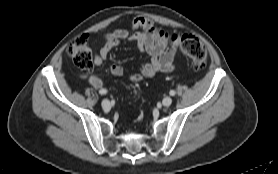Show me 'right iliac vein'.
<instances>
[{"label": "right iliac vein", "mask_w": 278, "mask_h": 174, "mask_svg": "<svg viewBox=\"0 0 278 174\" xmlns=\"http://www.w3.org/2000/svg\"><path fill=\"white\" fill-rule=\"evenodd\" d=\"M101 105H102V108H103L104 110H109V109L111 108L110 101L107 100V99H104V100L102 101Z\"/></svg>", "instance_id": "1"}]
</instances>
